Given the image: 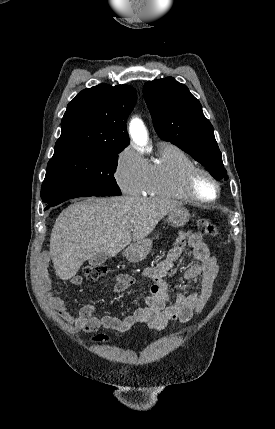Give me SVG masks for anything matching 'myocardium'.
I'll list each match as a JSON object with an SVG mask.
<instances>
[{
  "mask_svg": "<svg viewBox=\"0 0 275 429\" xmlns=\"http://www.w3.org/2000/svg\"><path fill=\"white\" fill-rule=\"evenodd\" d=\"M200 176H205L213 183L215 187V196L213 198L206 199L197 194L195 185ZM183 190L189 200L200 204H208L218 200L221 187L218 179L210 171L200 166H194L190 168L183 177Z\"/></svg>",
  "mask_w": 275,
  "mask_h": 429,
  "instance_id": "obj_1",
  "label": "myocardium"
}]
</instances>
